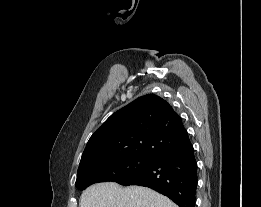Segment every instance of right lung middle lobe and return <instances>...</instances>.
Returning a JSON list of instances; mask_svg holds the SVG:
<instances>
[{
	"label": "right lung middle lobe",
	"instance_id": "1",
	"mask_svg": "<svg viewBox=\"0 0 261 207\" xmlns=\"http://www.w3.org/2000/svg\"><path fill=\"white\" fill-rule=\"evenodd\" d=\"M154 160L155 158L148 156L131 155L85 165L78 168L76 187L82 191L98 182L118 183L146 169Z\"/></svg>",
	"mask_w": 261,
	"mask_h": 207
}]
</instances>
